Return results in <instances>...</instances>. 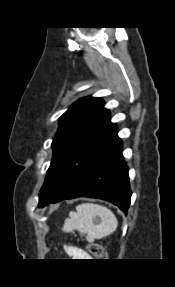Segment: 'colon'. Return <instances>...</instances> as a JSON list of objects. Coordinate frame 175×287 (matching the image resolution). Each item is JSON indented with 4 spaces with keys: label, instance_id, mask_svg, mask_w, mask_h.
Here are the masks:
<instances>
[{
    "label": "colon",
    "instance_id": "1",
    "mask_svg": "<svg viewBox=\"0 0 175 287\" xmlns=\"http://www.w3.org/2000/svg\"><path fill=\"white\" fill-rule=\"evenodd\" d=\"M88 251L96 258L103 259L106 257L104 247L98 243H90L87 246Z\"/></svg>",
    "mask_w": 175,
    "mask_h": 287
}]
</instances>
